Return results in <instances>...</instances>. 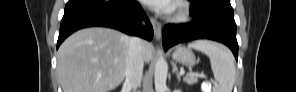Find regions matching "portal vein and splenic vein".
Masks as SVG:
<instances>
[{
	"label": "portal vein and splenic vein",
	"mask_w": 296,
	"mask_h": 92,
	"mask_svg": "<svg viewBox=\"0 0 296 92\" xmlns=\"http://www.w3.org/2000/svg\"><path fill=\"white\" fill-rule=\"evenodd\" d=\"M181 75H184V71H181ZM186 76H191V74H187Z\"/></svg>",
	"instance_id": "18ae733b"
}]
</instances>
